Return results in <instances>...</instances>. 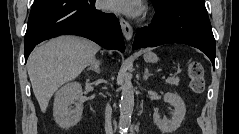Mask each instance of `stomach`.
Here are the masks:
<instances>
[{
	"label": "stomach",
	"mask_w": 239,
	"mask_h": 134,
	"mask_svg": "<svg viewBox=\"0 0 239 134\" xmlns=\"http://www.w3.org/2000/svg\"><path fill=\"white\" fill-rule=\"evenodd\" d=\"M144 59L146 62H149V63H156L158 61V57L152 52L145 53Z\"/></svg>",
	"instance_id": "1"
}]
</instances>
